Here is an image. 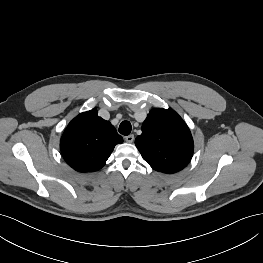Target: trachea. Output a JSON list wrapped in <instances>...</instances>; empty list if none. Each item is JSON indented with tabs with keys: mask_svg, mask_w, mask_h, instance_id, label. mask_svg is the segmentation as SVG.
<instances>
[{
	"mask_svg": "<svg viewBox=\"0 0 263 263\" xmlns=\"http://www.w3.org/2000/svg\"><path fill=\"white\" fill-rule=\"evenodd\" d=\"M131 130H132V126H131V123L129 121H123L121 122L120 126H119V132L122 134V135H129L131 133Z\"/></svg>",
	"mask_w": 263,
	"mask_h": 263,
	"instance_id": "obj_1",
	"label": "trachea"
}]
</instances>
